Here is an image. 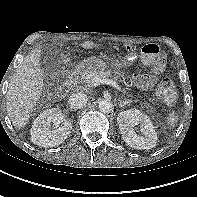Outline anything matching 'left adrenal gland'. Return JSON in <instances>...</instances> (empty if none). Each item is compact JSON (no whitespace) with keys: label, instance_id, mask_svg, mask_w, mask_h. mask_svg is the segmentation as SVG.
Masks as SVG:
<instances>
[{"label":"left adrenal gland","instance_id":"1","mask_svg":"<svg viewBox=\"0 0 197 197\" xmlns=\"http://www.w3.org/2000/svg\"><path fill=\"white\" fill-rule=\"evenodd\" d=\"M131 102H132L131 100L120 101V102H119V107H120V108H123V107L126 106V105H130Z\"/></svg>","mask_w":197,"mask_h":197}]
</instances>
